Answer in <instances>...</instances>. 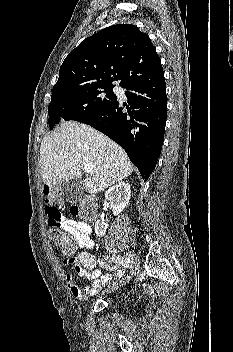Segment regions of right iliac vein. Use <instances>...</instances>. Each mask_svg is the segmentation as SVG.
Segmentation results:
<instances>
[{"mask_svg":"<svg viewBox=\"0 0 233 352\" xmlns=\"http://www.w3.org/2000/svg\"><path fill=\"white\" fill-rule=\"evenodd\" d=\"M126 257L130 260L131 262V272H130V275L122 282L120 283H115V285L111 288V289H108L107 292H111V291H114L115 289L121 287L122 285H124L126 282H128L130 280V278L136 274V271L138 269V266H139V260L137 258V256L131 252H128L126 254Z\"/></svg>","mask_w":233,"mask_h":352,"instance_id":"obj_1","label":"right iliac vein"}]
</instances>
